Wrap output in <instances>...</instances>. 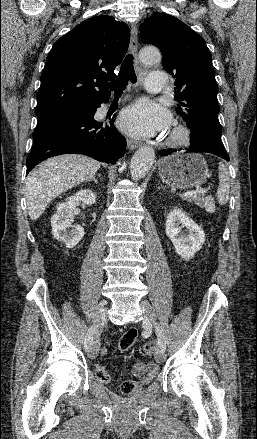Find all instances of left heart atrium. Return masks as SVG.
Segmentation results:
<instances>
[{
    "label": "left heart atrium",
    "mask_w": 257,
    "mask_h": 439,
    "mask_svg": "<svg viewBox=\"0 0 257 439\" xmlns=\"http://www.w3.org/2000/svg\"><path fill=\"white\" fill-rule=\"evenodd\" d=\"M170 123L171 115L168 110L149 100H141L127 107L119 119L122 130L138 137L163 134Z\"/></svg>",
    "instance_id": "left-heart-atrium-1"
}]
</instances>
